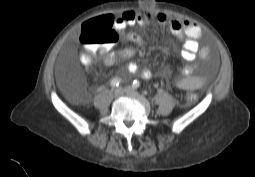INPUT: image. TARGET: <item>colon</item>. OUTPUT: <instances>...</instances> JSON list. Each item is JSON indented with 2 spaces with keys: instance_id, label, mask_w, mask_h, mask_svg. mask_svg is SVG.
I'll return each mask as SVG.
<instances>
[{
  "instance_id": "5ec220e1",
  "label": "colon",
  "mask_w": 255,
  "mask_h": 177,
  "mask_svg": "<svg viewBox=\"0 0 255 177\" xmlns=\"http://www.w3.org/2000/svg\"><path fill=\"white\" fill-rule=\"evenodd\" d=\"M81 37L83 44L101 48H109L116 41V34L112 31L105 15L86 21L82 26ZM186 98L193 102L197 99V95L190 93Z\"/></svg>"
}]
</instances>
